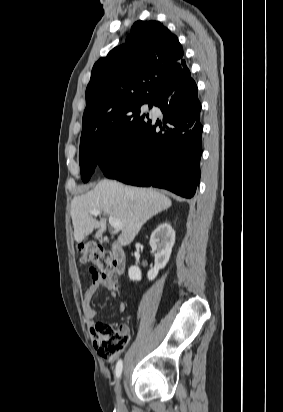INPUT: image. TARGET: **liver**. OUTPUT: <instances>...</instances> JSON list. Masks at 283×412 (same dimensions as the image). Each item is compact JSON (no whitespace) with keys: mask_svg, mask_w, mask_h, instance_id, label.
Listing matches in <instances>:
<instances>
[{"mask_svg":"<svg viewBox=\"0 0 283 412\" xmlns=\"http://www.w3.org/2000/svg\"><path fill=\"white\" fill-rule=\"evenodd\" d=\"M171 205L166 195L151 188L128 187L116 181L102 180L91 191L72 200L74 238L76 242H82L94 229H98V235L106 231V219L96 220L88 212L99 209L103 215L112 216L122 223L118 242L122 246L129 245L150 218Z\"/></svg>","mask_w":283,"mask_h":412,"instance_id":"1","label":"liver"}]
</instances>
